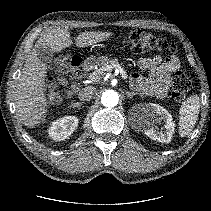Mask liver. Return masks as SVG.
I'll return each instance as SVG.
<instances>
[{
	"label": "liver",
	"mask_w": 211,
	"mask_h": 211,
	"mask_svg": "<svg viewBox=\"0 0 211 211\" xmlns=\"http://www.w3.org/2000/svg\"><path fill=\"white\" fill-rule=\"evenodd\" d=\"M111 35L110 32H82L76 38L77 47H88L101 42ZM73 44L70 33L65 29H53L45 32L35 43L34 48L24 64L23 71L15 83L11 95L14 100L17 114L25 126L34 128L45 120L47 113L46 76L47 68L38 56L36 48L47 46L52 52L61 50Z\"/></svg>",
	"instance_id": "liver-1"
}]
</instances>
